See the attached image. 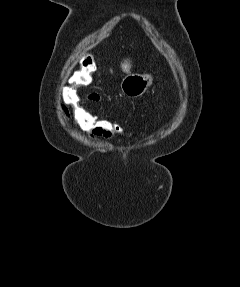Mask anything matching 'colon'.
<instances>
[{"label":"colon","instance_id":"obj_1","mask_svg":"<svg viewBox=\"0 0 240 287\" xmlns=\"http://www.w3.org/2000/svg\"><path fill=\"white\" fill-rule=\"evenodd\" d=\"M96 70L93 58L82 60L81 69L70 76L71 83L60 91V99L66 110L68 118L88 134L111 137L122 132V127L115 121L102 119L85 107L86 96L82 95L80 88L92 81V74Z\"/></svg>","mask_w":240,"mask_h":287}]
</instances>
